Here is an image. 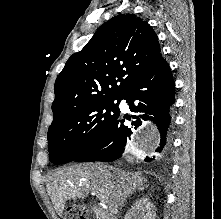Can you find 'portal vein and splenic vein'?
Returning <instances> with one entry per match:
<instances>
[{
	"label": "portal vein and splenic vein",
	"mask_w": 221,
	"mask_h": 219,
	"mask_svg": "<svg viewBox=\"0 0 221 219\" xmlns=\"http://www.w3.org/2000/svg\"><path fill=\"white\" fill-rule=\"evenodd\" d=\"M100 204L105 205V201L104 200H100Z\"/></svg>",
	"instance_id": "portal-vein-and-splenic-vein-1"
}]
</instances>
